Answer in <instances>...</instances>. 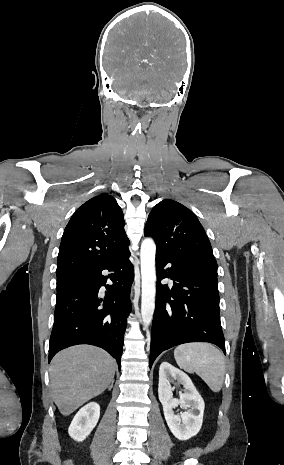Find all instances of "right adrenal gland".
Returning <instances> with one entry per match:
<instances>
[{"instance_id":"1","label":"right adrenal gland","mask_w":284,"mask_h":465,"mask_svg":"<svg viewBox=\"0 0 284 465\" xmlns=\"http://www.w3.org/2000/svg\"><path fill=\"white\" fill-rule=\"evenodd\" d=\"M113 385H114V381H111V385H110V387H109V391H110V389H113Z\"/></svg>"}]
</instances>
